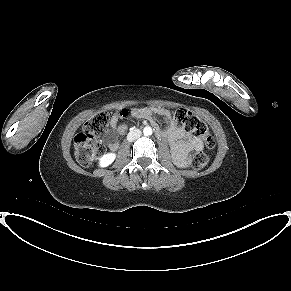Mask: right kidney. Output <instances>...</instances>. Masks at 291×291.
Listing matches in <instances>:
<instances>
[{"label":"right kidney","mask_w":291,"mask_h":291,"mask_svg":"<svg viewBox=\"0 0 291 291\" xmlns=\"http://www.w3.org/2000/svg\"><path fill=\"white\" fill-rule=\"evenodd\" d=\"M115 158L116 155L114 153L105 154L99 159V166L107 167L114 162Z\"/></svg>","instance_id":"ca27d5eb"}]
</instances>
